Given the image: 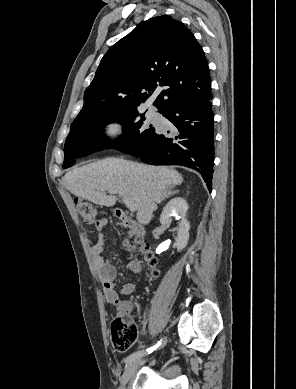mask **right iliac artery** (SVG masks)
I'll use <instances>...</instances> for the list:
<instances>
[{
	"instance_id": "1",
	"label": "right iliac artery",
	"mask_w": 296,
	"mask_h": 389,
	"mask_svg": "<svg viewBox=\"0 0 296 389\" xmlns=\"http://www.w3.org/2000/svg\"><path fill=\"white\" fill-rule=\"evenodd\" d=\"M161 344H162L161 342H158L157 345H155V346L152 347V348L147 349L146 351L143 350V351H140V352L132 353L131 355H129V356L126 358V360H125L126 365L132 363L134 360H136V359L142 357V356H143L144 354H146V353L150 354L152 351H154L155 349H157Z\"/></svg>"
}]
</instances>
